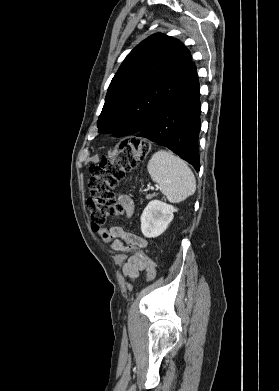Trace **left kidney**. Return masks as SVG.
Here are the masks:
<instances>
[{
	"label": "left kidney",
	"mask_w": 279,
	"mask_h": 391,
	"mask_svg": "<svg viewBox=\"0 0 279 391\" xmlns=\"http://www.w3.org/2000/svg\"><path fill=\"white\" fill-rule=\"evenodd\" d=\"M177 209L159 200L148 203L141 215V231L147 238L160 236L173 220V213Z\"/></svg>",
	"instance_id": "obj_1"
}]
</instances>
